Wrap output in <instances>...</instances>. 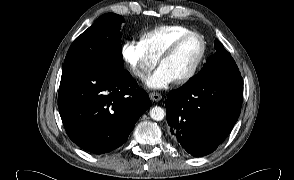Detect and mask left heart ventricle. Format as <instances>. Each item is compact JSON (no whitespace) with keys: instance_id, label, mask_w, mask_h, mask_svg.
Instances as JSON below:
<instances>
[{"instance_id":"obj_1","label":"left heart ventricle","mask_w":294,"mask_h":180,"mask_svg":"<svg viewBox=\"0 0 294 180\" xmlns=\"http://www.w3.org/2000/svg\"><path fill=\"white\" fill-rule=\"evenodd\" d=\"M201 52V42L197 37L184 41L160 66L172 76L174 81L184 77L194 66Z\"/></svg>"}]
</instances>
